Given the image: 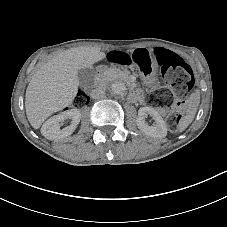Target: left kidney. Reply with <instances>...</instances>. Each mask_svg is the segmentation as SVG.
Returning <instances> with one entry per match:
<instances>
[{
	"label": "left kidney",
	"mask_w": 227,
	"mask_h": 227,
	"mask_svg": "<svg viewBox=\"0 0 227 227\" xmlns=\"http://www.w3.org/2000/svg\"><path fill=\"white\" fill-rule=\"evenodd\" d=\"M147 115H150L155 123L149 126L145 122ZM138 128L146 135L154 138H164L167 135V126L160 114L152 107H141L138 110L136 119Z\"/></svg>",
	"instance_id": "left-kidney-1"
}]
</instances>
